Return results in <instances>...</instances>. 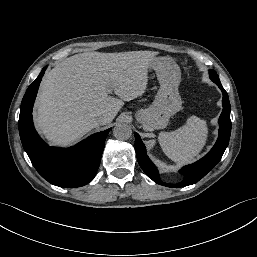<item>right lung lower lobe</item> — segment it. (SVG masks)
Masks as SVG:
<instances>
[{"label": "right lung lower lobe", "instance_id": "98d812e1", "mask_svg": "<svg viewBox=\"0 0 257 257\" xmlns=\"http://www.w3.org/2000/svg\"><path fill=\"white\" fill-rule=\"evenodd\" d=\"M46 68L42 69L23 97L19 116L21 142L35 169L48 182L59 187L84 186L98 170L104 142L111 128L95 133L68 149L49 147L35 131L32 120V107Z\"/></svg>", "mask_w": 257, "mask_h": 257}]
</instances>
